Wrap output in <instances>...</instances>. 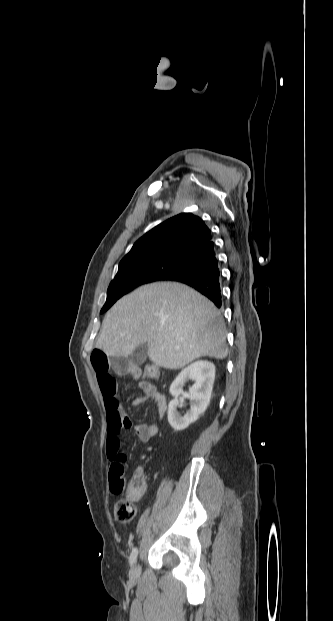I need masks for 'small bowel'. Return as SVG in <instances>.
<instances>
[{
  "label": "small bowel",
  "mask_w": 333,
  "mask_h": 621,
  "mask_svg": "<svg viewBox=\"0 0 333 621\" xmlns=\"http://www.w3.org/2000/svg\"><path fill=\"white\" fill-rule=\"evenodd\" d=\"M90 358L106 410L108 423L107 456L111 467L116 462L125 463V454L121 449L120 441L123 430L133 427L139 440L148 442L159 432L160 425L154 422L151 424L142 423L133 426L124 412L117 396V383L113 377V373H120L126 369L127 363L124 360L112 358L101 349H94ZM139 386L144 392V395L134 400V407L138 410L144 403L153 400L157 405L158 416L162 419L167 410L165 396L150 382L141 381ZM139 473H144L142 468H138L134 474Z\"/></svg>",
  "instance_id": "obj_1"
}]
</instances>
